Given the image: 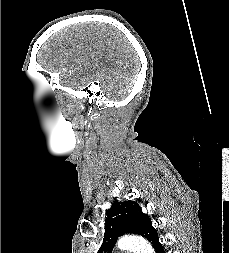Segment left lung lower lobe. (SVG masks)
<instances>
[{
    "mask_svg": "<svg viewBox=\"0 0 229 253\" xmlns=\"http://www.w3.org/2000/svg\"><path fill=\"white\" fill-rule=\"evenodd\" d=\"M153 247L156 251V253H165L163 247H162V244L158 241H156L154 244H153Z\"/></svg>",
    "mask_w": 229,
    "mask_h": 253,
    "instance_id": "0a47b994",
    "label": "left lung lower lobe"
}]
</instances>
